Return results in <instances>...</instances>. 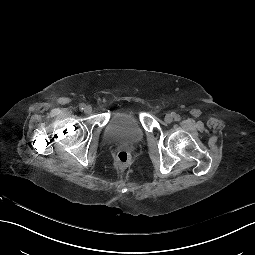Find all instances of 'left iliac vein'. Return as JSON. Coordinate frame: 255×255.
<instances>
[{
	"mask_svg": "<svg viewBox=\"0 0 255 255\" xmlns=\"http://www.w3.org/2000/svg\"><path fill=\"white\" fill-rule=\"evenodd\" d=\"M165 122L171 123L173 121V115L172 114H167L164 118Z\"/></svg>",
	"mask_w": 255,
	"mask_h": 255,
	"instance_id": "obj_1",
	"label": "left iliac vein"
}]
</instances>
